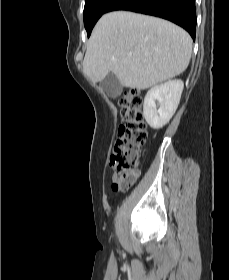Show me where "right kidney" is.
<instances>
[{
  "label": "right kidney",
  "mask_w": 229,
  "mask_h": 280,
  "mask_svg": "<svg viewBox=\"0 0 229 280\" xmlns=\"http://www.w3.org/2000/svg\"><path fill=\"white\" fill-rule=\"evenodd\" d=\"M184 83L181 80H170L152 87L146 94L143 115L153 129L165 126L174 115L180 102ZM158 101L159 108L156 106Z\"/></svg>",
  "instance_id": "right-kidney-1"
}]
</instances>
